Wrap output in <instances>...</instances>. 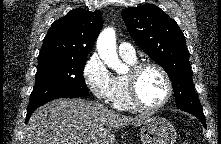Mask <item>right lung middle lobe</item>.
<instances>
[{
    "label": "right lung middle lobe",
    "mask_w": 221,
    "mask_h": 144,
    "mask_svg": "<svg viewBox=\"0 0 221 144\" xmlns=\"http://www.w3.org/2000/svg\"><path fill=\"white\" fill-rule=\"evenodd\" d=\"M86 58L39 57L38 69L28 109L41 105L54 95L75 92L88 95L83 71Z\"/></svg>",
    "instance_id": "dd1d6c3e"
}]
</instances>
